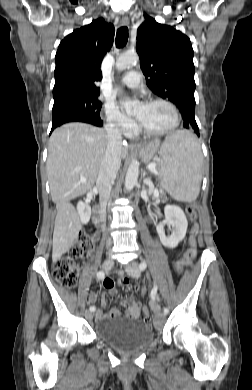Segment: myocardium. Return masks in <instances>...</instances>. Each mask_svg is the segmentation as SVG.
<instances>
[{
    "label": "myocardium",
    "instance_id": "1",
    "mask_svg": "<svg viewBox=\"0 0 252 390\" xmlns=\"http://www.w3.org/2000/svg\"><path fill=\"white\" fill-rule=\"evenodd\" d=\"M155 103H163V104H166L167 106L170 107V109L172 110L173 114H174V122L173 124L165 129V130H160V131H156V130H150V129H147L146 127H144L137 119H136V126H137V130L144 134V135H147V136H154V137H158V136H165V135H168L170 133H172L173 131H175L179 125H180V120H181V117H180V113H179V110L177 108V106L171 102L170 100L168 99H165V98H161V97H156V98H151V99H148L146 100L143 104L144 105H151V104H155Z\"/></svg>",
    "mask_w": 252,
    "mask_h": 390
}]
</instances>
